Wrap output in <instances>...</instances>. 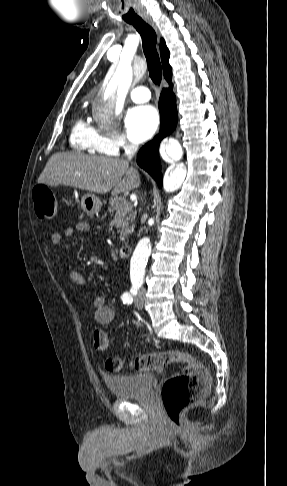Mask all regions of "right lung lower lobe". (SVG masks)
I'll return each instance as SVG.
<instances>
[{"label":"right lung lower lobe","instance_id":"obj_1","mask_svg":"<svg viewBox=\"0 0 287 486\" xmlns=\"http://www.w3.org/2000/svg\"><path fill=\"white\" fill-rule=\"evenodd\" d=\"M172 87L171 81H168ZM160 111V134L151 142L143 146L138 155V165L147 171L157 182L158 186H162L161 166L158 155V147L160 140L169 135L177 124V110L175 95L170 89H163L159 99Z\"/></svg>","mask_w":287,"mask_h":486}]
</instances>
